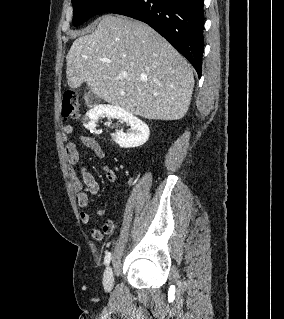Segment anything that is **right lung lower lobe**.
Masks as SVG:
<instances>
[{
    "label": "right lung lower lobe",
    "instance_id": "98d812e1",
    "mask_svg": "<svg viewBox=\"0 0 284 319\" xmlns=\"http://www.w3.org/2000/svg\"><path fill=\"white\" fill-rule=\"evenodd\" d=\"M203 0H129L110 11L143 21L166 38L201 77Z\"/></svg>",
    "mask_w": 284,
    "mask_h": 319
}]
</instances>
